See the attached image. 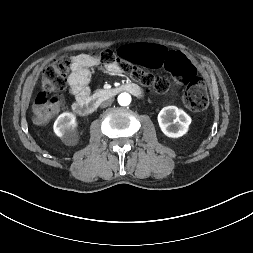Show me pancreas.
I'll use <instances>...</instances> for the list:
<instances>
[{
    "label": "pancreas",
    "mask_w": 253,
    "mask_h": 253,
    "mask_svg": "<svg viewBox=\"0 0 253 253\" xmlns=\"http://www.w3.org/2000/svg\"><path fill=\"white\" fill-rule=\"evenodd\" d=\"M100 90L96 91L95 96H98L100 94Z\"/></svg>",
    "instance_id": "1"
}]
</instances>
